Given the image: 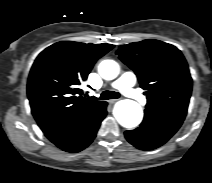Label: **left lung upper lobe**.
I'll use <instances>...</instances> for the list:
<instances>
[{"mask_svg": "<svg viewBox=\"0 0 212 183\" xmlns=\"http://www.w3.org/2000/svg\"><path fill=\"white\" fill-rule=\"evenodd\" d=\"M116 53L147 90L146 110L185 119L192 78L180 50L162 41L144 40L122 45Z\"/></svg>", "mask_w": 212, "mask_h": 183, "instance_id": "5c2ea615", "label": "left lung upper lobe"}]
</instances>
